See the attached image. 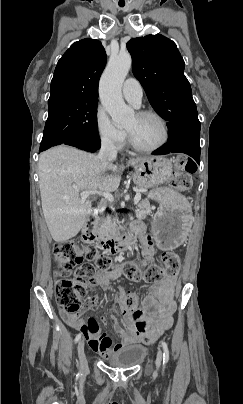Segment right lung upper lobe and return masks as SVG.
Listing matches in <instances>:
<instances>
[{"mask_svg": "<svg viewBox=\"0 0 243 404\" xmlns=\"http://www.w3.org/2000/svg\"><path fill=\"white\" fill-rule=\"evenodd\" d=\"M106 60L98 40L74 43L58 61L48 106L68 101H98V83Z\"/></svg>", "mask_w": 243, "mask_h": 404, "instance_id": "1", "label": "right lung upper lobe"}]
</instances>
